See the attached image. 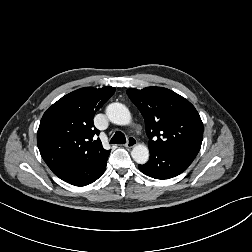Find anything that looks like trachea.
Segmentation results:
<instances>
[{
    "label": "trachea",
    "mask_w": 252,
    "mask_h": 252,
    "mask_svg": "<svg viewBox=\"0 0 252 252\" xmlns=\"http://www.w3.org/2000/svg\"><path fill=\"white\" fill-rule=\"evenodd\" d=\"M111 144H123L126 143L125 135L121 131L115 132L114 136L110 140Z\"/></svg>",
    "instance_id": "obj_1"
}]
</instances>
